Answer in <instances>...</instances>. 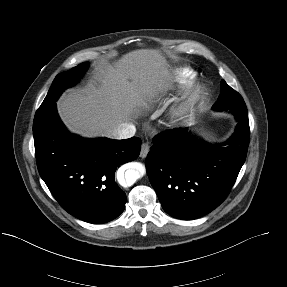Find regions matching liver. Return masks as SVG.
Listing matches in <instances>:
<instances>
[{"mask_svg": "<svg viewBox=\"0 0 287 287\" xmlns=\"http://www.w3.org/2000/svg\"><path fill=\"white\" fill-rule=\"evenodd\" d=\"M95 70L93 82L57 102L67 128L84 137H111L113 129L131 122L143 97L167 88L171 80L167 60L154 49L129 52L114 65L99 62Z\"/></svg>", "mask_w": 287, "mask_h": 287, "instance_id": "liver-1", "label": "liver"}]
</instances>
